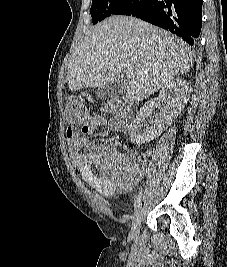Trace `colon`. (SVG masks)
Returning a JSON list of instances; mask_svg holds the SVG:
<instances>
[{
  "label": "colon",
  "instance_id": "colon-1",
  "mask_svg": "<svg viewBox=\"0 0 227 267\" xmlns=\"http://www.w3.org/2000/svg\"><path fill=\"white\" fill-rule=\"evenodd\" d=\"M107 114L115 115L119 123L129 119L128 107L120 99L110 100L104 107ZM65 117L71 123L85 124L89 120L87 108L79 101L72 100L65 107Z\"/></svg>",
  "mask_w": 227,
  "mask_h": 267
}]
</instances>
